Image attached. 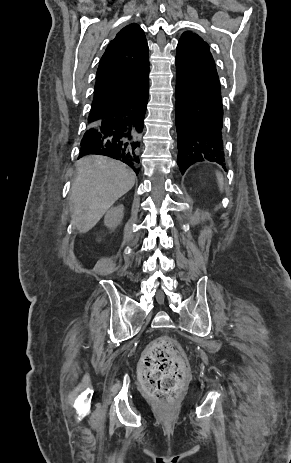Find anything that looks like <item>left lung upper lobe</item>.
<instances>
[{"label":"left lung upper lobe","mask_w":291,"mask_h":463,"mask_svg":"<svg viewBox=\"0 0 291 463\" xmlns=\"http://www.w3.org/2000/svg\"><path fill=\"white\" fill-rule=\"evenodd\" d=\"M176 72L220 89L209 45L197 34L184 32L177 45Z\"/></svg>","instance_id":"5c2ea615"}]
</instances>
